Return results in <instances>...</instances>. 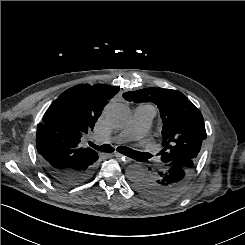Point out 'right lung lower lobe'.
Wrapping results in <instances>:
<instances>
[{"mask_svg":"<svg viewBox=\"0 0 245 245\" xmlns=\"http://www.w3.org/2000/svg\"><path fill=\"white\" fill-rule=\"evenodd\" d=\"M97 161V160H96ZM96 161L79 169H56L42 162L47 174L56 182L67 186H77L92 178L96 168Z\"/></svg>","mask_w":245,"mask_h":245,"instance_id":"1","label":"right lung lower lobe"}]
</instances>
